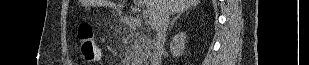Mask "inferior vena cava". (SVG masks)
Returning a JSON list of instances; mask_svg holds the SVG:
<instances>
[{
  "mask_svg": "<svg viewBox=\"0 0 309 65\" xmlns=\"http://www.w3.org/2000/svg\"><path fill=\"white\" fill-rule=\"evenodd\" d=\"M168 25H169V14H166L157 28V36L154 43V53L151 60L152 65H161L162 63V55L164 52V45Z\"/></svg>",
  "mask_w": 309,
  "mask_h": 65,
  "instance_id": "inferior-vena-cava-1",
  "label": "inferior vena cava"
}]
</instances>
